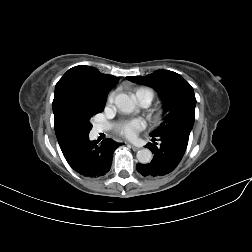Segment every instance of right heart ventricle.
I'll use <instances>...</instances> for the list:
<instances>
[{"mask_svg": "<svg viewBox=\"0 0 252 252\" xmlns=\"http://www.w3.org/2000/svg\"><path fill=\"white\" fill-rule=\"evenodd\" d=\"M133 97L139 104L145 102L148 106L155 97V91L149 87H138L134 89Z\"/></svg>", "mask_w": 252, "mask_h": 252, "instance_id": "right-heart-ventricle-1", "label": "right heart ventricle"}]
</instances>
